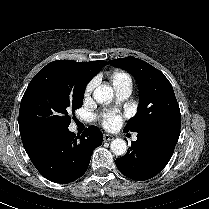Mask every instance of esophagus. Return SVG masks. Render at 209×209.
Instances as JSON below:
<instances>
[{"label":"esophagus","mask_w":209,"mask_h":209,"mask_svg":"<svg viewBox=\"0 0 209 209\" xmlns=\"http://www.w3.org/2000/svg\"><path fill=\"white\" fill-rule=\"evenodd\" d=\"M113 139H114V136H112V135H109V134H104L103 135L104 142H109V141H111Z\"/></svg>","instance_id":"obj_1"}]
</instances>
